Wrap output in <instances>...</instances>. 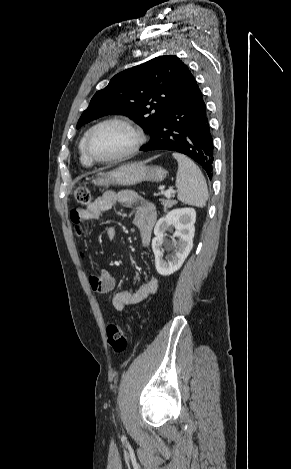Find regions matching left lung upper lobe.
<instances>
[{"label": "left lung upper lobe", "mask_w": 291, "mask_h": 469, "mask_svg": "<svg viewBox=\"0 0 291 469\" xmlns=\"http://www.w3.org/2000/svg\"><path fill=\"white\" fill-rule=\"evenodd\" d=\"M192 74L176 56H159L116 74L95 93L77 128L101 116L121 113L152 136L166 110Z\"/></svg>", "instance_id": "left-lung-upper-lobe-1"}]
</instances>
